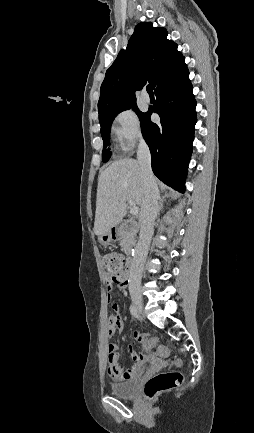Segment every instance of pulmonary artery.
I'll return each instance as SVG.
<instances>
[{
    "label": "pulmonary artery",
    "mask_w": 254,
    "mask_h": 433,
    "mask_svg": "<svg viewBox=\"0 0 254 433\" xmlns=\"http://www.w3.org/2000/svg\"><path fill=\"white\" fill-rule=\"evenodd\" d=\"M142 99L145 103L150 101L149 95L146 92L143 93Z\"/></svg>",
    "instance_id": "e3ab8cb5"
}]
</instances>
